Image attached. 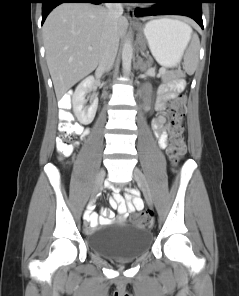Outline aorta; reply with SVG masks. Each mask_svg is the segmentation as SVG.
Listing matches in <instances>:
<instances>
[{
  "instance_id": "1",
  "label": "aorta",
  "mask_w": 239,
  "mask_h": 296,
  "mask_svg": "<svg viewBox=\"0 0 239 296\" xmlns=\"http://www.w3.org/2000/svg\"><path fill=\"white\" fill-rule=\"evenodd\" d=\"M133 57V48L130 39H126L122 49V67L123 72L129 75L131 72V62Z\"/></svg>"
}]
</instances>
